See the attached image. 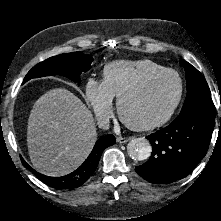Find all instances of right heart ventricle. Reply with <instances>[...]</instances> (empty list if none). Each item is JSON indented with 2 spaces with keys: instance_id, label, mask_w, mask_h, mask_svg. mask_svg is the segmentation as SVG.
<instances>
[{
  "instance_id": "e07e8e85",
  "label": "right heart ventricle",
  "mask_w": 221,
  "mask_h": 221,
  "mask_svg": "<svg viewBox=\"0 0 221 221\" xmlns=\"http://www.w3.org/2000/svg\"><path fill=\"white\" fill-rule=\"evenodd\" d=\"M165 69L148 59L121 60L107 64L103 69V82L113 98L119 96L147 75Z\"/></svg>"
}]
</instances>
